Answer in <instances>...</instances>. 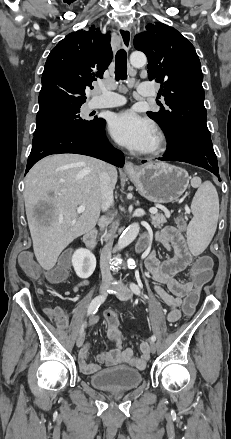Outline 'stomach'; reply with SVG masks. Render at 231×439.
Wrapping results in <instances>:
<instances>
[{"label": "stomach", "instance_id": "0dacf381", "mask_svg": "<svg viewBox=\"0 0 231 439\" xmlns=\"http://www.w3.org/2000/svg\"><path fill=\"white\" fill-rule=\"evenodd\" d=\"M138 192L154 203L177 200L189 185V175L181 168L164 163H149L127 172Z\"/></svg>", "mask_w": 231, "mask_h": 439}]
</instances>
